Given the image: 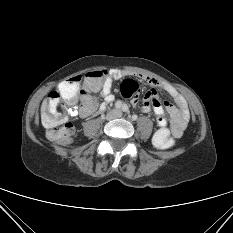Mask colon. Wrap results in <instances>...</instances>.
Instances as JSON below:
<instances>
[{
	"mask_svg": "<svg viewBox=\"0 0 233 233\" xmlns=\"http://www.w3.org/2000/svg\"><path fill=\"white\" fill-rule=\"evenodd\" d=\"M103 70L92 71L85 75L84 86L81 90V96L85 100L92 102L91 93L98 91L106 77ZM81 76H75L63 82L57 91L49 94L47 108L43 116V123L48 129V137L58 143L66 144L71 140L73 134V125L67 122L66 116L62 111V98L68 100L76 95ZM121 93L130 97L138 90L136 81L127 79L121 84ZM154 145L160 149H168L174 146L175 140L168 129H159L153 138Z\"/></svg>",
	"mask_w": 233,
	"mask_h": 233,
	"instance_id": "1",
	"label": "colon"
}]
</instances>
